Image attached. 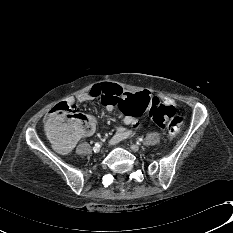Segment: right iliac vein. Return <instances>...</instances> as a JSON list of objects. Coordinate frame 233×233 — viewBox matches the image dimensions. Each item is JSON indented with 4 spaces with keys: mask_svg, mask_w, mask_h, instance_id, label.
<instances>
[{
    "mask_svg": "<svg viewBox=\"0 0 233 233\" xmlns=\"http://www.w3.org/2000/svg\"><path fill=\"white\" fill-rule=\"evenodd\" d=\"M99 150H100L99 147H94V148H93V151H94V152H99Z\"/></svg>",
    "mask_w": 233,
    "mask_h": 233,
    "instance_id": "right-iliac-vein-1",
    "label": "right iliac vein"
}]
</instances>
